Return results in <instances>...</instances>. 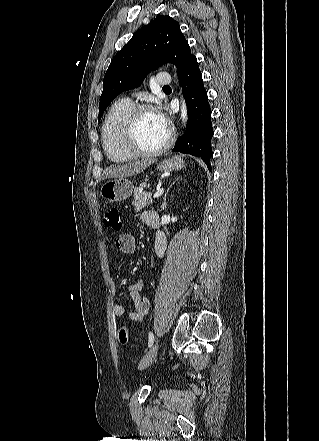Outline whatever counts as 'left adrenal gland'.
Listing matches in <instances>:
<instances>
[{"mask_svg":"<svg viewBox=\"0 0 319 441\" xmlns=\"http://www.w3.org/2000/svg\"><path fill=\"white\" fill-rule=\"evenodd\" d=\"M178 180H179V178L176 179V181H178ZM176 181H173V183L166 190V192L164 194V197H163V203H162L161 211H163L166 208V205H167V203H166V196H167L168 192L170 191V189L172 188V186L174 185V183Z\"/></svg>","mask_w":319,"mask_h":441,"instance_id":"a2214340","label":"left adrenal gland"}]
</instances>
